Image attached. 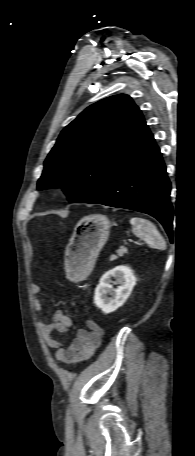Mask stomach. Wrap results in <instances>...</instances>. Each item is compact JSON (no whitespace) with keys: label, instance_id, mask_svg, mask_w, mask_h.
<instances>
[{"label":"stomach","instance_id":"stomach-1","mask_svg":"<svg viewBox=\"0 0 195 456\" xmlns=\"http://www.w3.org/2000/svg\"><path fill=\"white\" fill-rule=\"evenodd\" d=\"M110 227L111 222L102 214L88 215L77 222L65 251V265L72 280L80 281L93 270Z\"/></svg>","mask_w":195,"mask_h":456}]
</instances>
